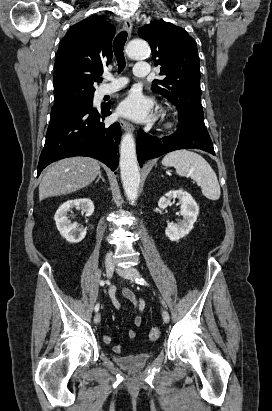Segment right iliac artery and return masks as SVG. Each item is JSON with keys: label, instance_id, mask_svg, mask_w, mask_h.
Returning <instances> with one entry per match:
<instances>
[{"label": "right iliac artery", "instance_id": "obj_1", "mask_svg": "<svg viewBox=\"0 0 272 411\" xmlns=\"http://www.w3.org/2000/svg\"><path fill=\"white\" fill-rule=\"evenodd\" d=\"M105 282L103 280L100 281V285L103 286ZM99 310V304H96L95 306V311L97 312Z\"/></svg>", "mask_w": 272, "mask_h": 411}]
</instances>
